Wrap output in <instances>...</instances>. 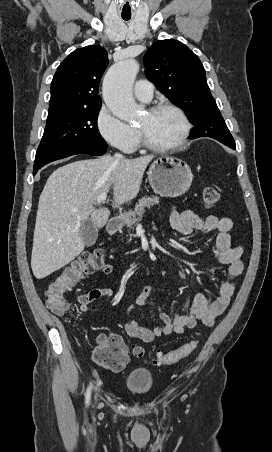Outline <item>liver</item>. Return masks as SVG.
I'll return each mask as SVG.
<instances>
[{"mask_svg":"<svg viewBox=\"0 0 272 452\" xmlns=\"http://www.w3.org/2000/svg\"><path fill=\"white\" fill-rule=\"evenodd\" d=\"M153 158L116 161L106 155L69 163L49 176L39 198L33 237L31 268L37 279L66 266L84 250L81 227L89 216L99 228L106 224L109 210L95 208L99 195L112 189L116 205L137 196Z\"/></svg>","mask_w":272,"mask_h":452,"instance_id":"obj_1","label":"liver"}]
</instances>
